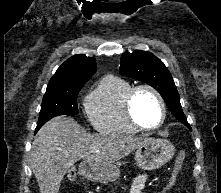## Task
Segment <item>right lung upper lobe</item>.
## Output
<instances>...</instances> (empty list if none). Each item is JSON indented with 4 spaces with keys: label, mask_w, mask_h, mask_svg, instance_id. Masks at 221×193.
<instances>
[{
    "label": "right lung upper lobe",
    "mask_w": 221,
    "mask_h": 193,
    "mask_svg": "<svg viewBox=\"0 0 221 193\" xmlns=\"http://www.w3.org/2000/svg\"><path fill=\"white\" fill-rule=\"evenodd\" d=\"M95 58L77 54L67 59L51 77L47 90L84 85L95 73Z\"/></svg>",
    "instance_id": "1"
}]
</instances>
